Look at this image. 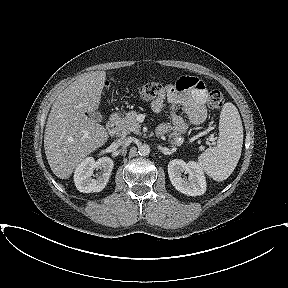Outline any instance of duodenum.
<instances>
[{
    "label": "duodenum",
    "mask_w": 288,
    "mask_h": 288,
    "mask_svg": "<svg viewBox=\"0 0 288 288\" xmlns=\"http://www.w3.org/2000/svg\"><path fill=\"white\" fill-rule=\"evenodd\" d=\"M119 113L114 112L111 114L109 120L107 121L106 128L110 134H115L118 128Z\"/></svg>",
    "instance_id": "duodenum-1"
}]
</instances>
